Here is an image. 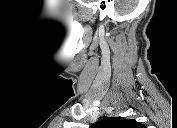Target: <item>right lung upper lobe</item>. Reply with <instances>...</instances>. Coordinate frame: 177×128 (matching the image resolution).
Returning a JSON list of instances; mask_svg holds the SVG:
<instances>
[{"label":"right lung upper lobe","mask_w":177,"mask_h":128,"mask_svg":"<svg viewBox=\"0 0 177 128\" xmlns=\"http://www.w3.org/2000/svg\"><path fill=\"white\" fill-rule=\"evenodd\" d=\"M98 128H144L145 126L134 119H124L121 117H110L103 119Z\"/></svg>","instance_id":"cb5924a9"}]
</instances>
